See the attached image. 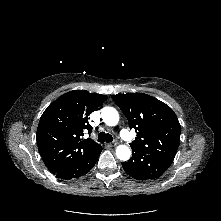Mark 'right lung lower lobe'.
I'll return each instance as SVG.
<instances>
[{
  "label": "right lung lower lobe",
  "mask_w": 221,
  "mask_h": 221,
  "mask_svg": "<svg viewBox=\"0 0 221 221\" xmlns=\"http://www.w3.org/2000/svg\"><path fill=\"white\" fill-rule=\"evenodd\" d=\"M101 151L102 147L100 146L99 148L89 152L85 156L66 165L64 168L53 174H55L57 178L66 180L79 178L80 176L88 173L93 168Z\"/></svg>",
  "instance_id": "right-lung-lower-lobe-1"
}]
</instances>
